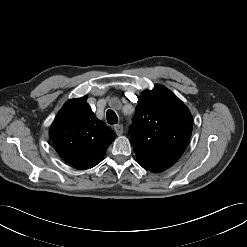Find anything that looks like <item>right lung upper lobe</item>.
Masks as SVG:
<instances>
[{
    "mask_svg": "<svg viewBox=\"0 0 247 247\" xmlns=\"http://www.w3.org/2000/svg\"><path fill=\"white\" fill-rule=\"evenodd\" d=\"M115 136L111 128L96 118L86 97L69 100L58 112L50 129L57 153L79 169L96 166Z\"/></svg>",
    "mask_w": 247,
    "mask_h": 247,
    "instance_id": "cb5924a9",
    "label": "right lung upper lobe"
}]
</instances>
